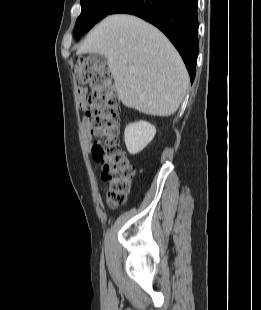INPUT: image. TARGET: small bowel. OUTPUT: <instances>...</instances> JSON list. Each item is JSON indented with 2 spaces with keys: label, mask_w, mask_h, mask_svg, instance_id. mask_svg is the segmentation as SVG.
Here are the masks:
<instances>
[{
  "label": "small bowel",
  "mask_w": 261,
  "mask_h": 310,
  "mask_svg": "<svg viewBox=\"0 0 261 310\" xmlns=\"http://www.w3.org/2000/svg\"><path fill=\"white\" fill-rule=\"evenodd\" d=\"M78 93H79V97L80 99L83 101L85 99V96H86V89L84 88H80L78 90ZM82 125H83V129H84V133L88 139V142L90 144H92V137H91V122L89 120V118H84L83 121H82Z\"/></svg>",
  "instance_id": "1"
}]
</instances>
